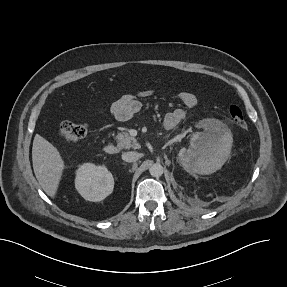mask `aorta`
I'll use <instances>...</instances> for the list:
<instances>
[{
	"instance_id": "1",
	"label": "aorta",
	"mask_w": 287,
	"mask_h": 287,
	"mask_svg": "<svg viewBox=\"0 0 287 287\" xmlns=\"http://www.w3.org/2000/svg\"><path fill=\"white\" fill-rule=\"evenodd\" d=\"M150 175L153 177H160L163 174V166L160 163H154L149 168Z\"/></svg>"
}]
</instances>
